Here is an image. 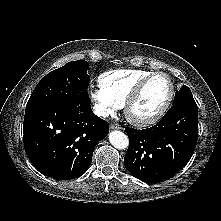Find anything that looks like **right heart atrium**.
<instances>
[{
    "instance_id": "d8ad5b80",
    "label": "right heart atrium",
    "mask_w": 221,
    "mask_h": 221,
    "mask_svg": "<svg viewBox=\"0 0 221 221\" xmlns=\"http://www.w3.org/2000/svg\"><path fill=\"white\" fill-rule=\"evenodd\" d=\"M89 97L94 104L96 113L101 117L114 114L121 105L109 96L100 86L89 89Z\"/></svg>"
}]
</instances>
